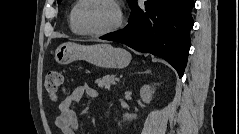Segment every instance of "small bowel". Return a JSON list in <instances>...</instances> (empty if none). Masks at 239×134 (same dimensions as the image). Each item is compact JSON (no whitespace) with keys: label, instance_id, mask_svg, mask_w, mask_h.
I'll use <instances>...</instances> for the list:
<instances>
[{"label":"small bowel","instance_id":"small-bowel-1","mask_svg":"<svg viewBox=\"0 0 239 134\" xmlns=\"http://www.w3.org/2000/svg\"><path fill=\"white\" fill-rule=\"evenodd\" d=\"M86 95L91 99H97L99 92L94 87L84 84L76 87L59 105V114L55 118V124L62 134H76L79 120L72 106L78 103Z\"/></svg>","mask_w":239,"mask_h":134}]
</instances>
